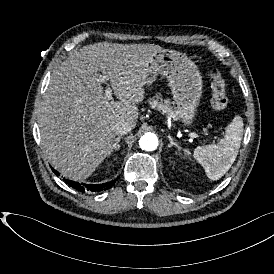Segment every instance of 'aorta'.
<instances>
[{"instance_id":"obj_1","label":"aorta","mask_w":274,"mask_h":274,"mask_svg":"<svg viewBox=\"0 0 274 274\" xmlns=\"http://www.w3.org/2000/svg\"><path fill=\"white\" fill-rule=\"evenodd\" d=\"M139 146L145 151H154L158 147V138L154 133H145L139 139Z\"/></svg>"}]
</instances>
